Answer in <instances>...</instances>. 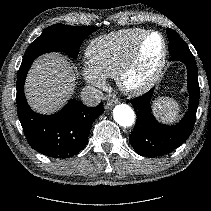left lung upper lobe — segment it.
<instances>
[{
  "mask_svg": "<svg viewBox=\"0 0 211 211\" xmlns=\"http://www.w3.org/2000/svg\"><path fill=\"white\" fill-rule=\"evenodd\" d=\"M175 31L172 30V29H167V34L168 33H174ZM180 49H189L188 46L186 45V43L184 41H182V44H181V48Z\"/></svg>",
  "mask_w": 211,
  "mask_h": 211,
  "instance_id": "obj_1",
  "label": "left lung upper lobe"
}]
</instances>
